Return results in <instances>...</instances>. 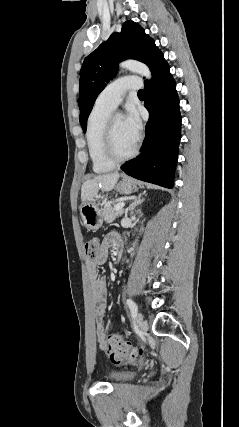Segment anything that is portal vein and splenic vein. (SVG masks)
Wrapping results in <instances>:
<instances>
[{
  "mask_svg": "<svg viewBox=\"0 0 239 427\" xmlns=\"http://www.w3.org/2000/svg\"><path fill=\"white\" fill-rule=\"evenodd\" d=\"M124 206H125V203L124 202H120V203H118V204H116L114 206V209H115V211H119V210L123 209Z\"/></svg>",
  "mask_w": 239,
  "mask_h": 427,
  "instance_id": "18ae733b",
  "label": "portal vein and splenic vein"
}]
</instances>
